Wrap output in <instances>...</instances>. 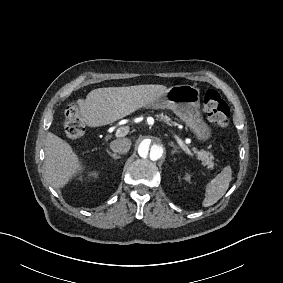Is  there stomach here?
Returning a JSON list of instances; mask_svg holds the SVG:
<instances>
[{
  "label": "stomach",
  "instance_id": "stomach-1",
  "mask_svg": "<svg viewBox=\"0 0 283 283\" xmlns=\"http://www.w3.org/2000/svg\"><path fill=\"white\" fill-rule=\"evenodd\" d=\"M152 106L171 109L185 122L198 143L206 144L212 138L213 128L203 118L198 87L190 84L173 86Z\"/></svg>",
  "mask_w": 283,
  "mask_h": 283
}]
</instances>
